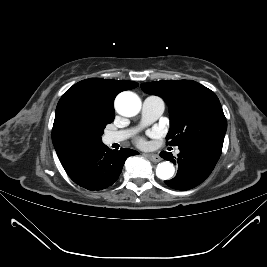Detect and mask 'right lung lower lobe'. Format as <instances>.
Wrapping results in <instances>:
<instances>
[{"label":"right lung lower lobe","instance_id":"1","mask_svg":"<svg viewBox=\"0 0 267 267\" xmlns=\"http://www.w3.org/2000/svg\"><path fill=\"white\" fill-rule=\"evenodd\" d=\"M138 152L128 148L109 150L102 142L76 149L60 158L69 177L79 186L98 191L114 184L125 160Z\"/></svg>","mask_w":267,"mask_h":267}]
</instances>
